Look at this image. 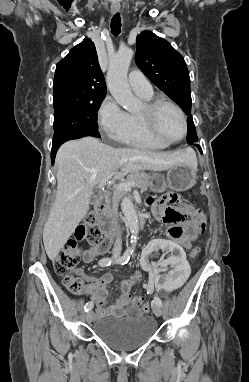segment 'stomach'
I'll list each match as a JSON object with an SVG mask.
<instances>
[{"instance_id":"0dacf381","label":"stomach","mask_w":249,"mask_h":382,"mask_svg":"<svg viewBox=\"0 0 249 382\" xmlns=\"http://www.w3.org/2000/svg\"><path fill=\"white\" fill-rule=\"evenodd\" d=\"M197 166L191 163H182L168 170L166 179L163 175L154 174L151 189L154 192H163L166 188L174 191H185L196 183Z\"/></svg>"}]
</instances>
